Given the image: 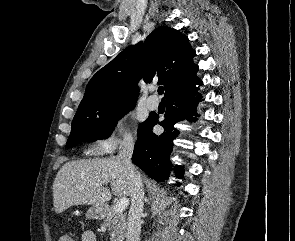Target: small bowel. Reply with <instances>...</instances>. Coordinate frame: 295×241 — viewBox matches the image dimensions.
<instances>
[{"mask_svg": "<svg viewBox=\"0 0 295 241\" xmlns=\"http://www.w3.org/2000/svg\"><path fill=\"white\" fill-rule=\"evenodd\" d=\"M82 241H96V237L93 231L87 230L82 233ZM59 241H64V237H60Z\"/></svg>", "mask_w": 295, "mask_h": 241, "instance_id": "small-bowel-1", "label": "small bowel"}]
</instances>
